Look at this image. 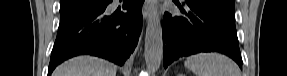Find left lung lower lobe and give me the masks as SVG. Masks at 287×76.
I'll list each match as a JSON object with an SVG mask.
<instances>
[{
  "label": "left lung lower lobe",
  "instance_id": "left-lung-lower-lobe-1",
  "mask_svg": "<svg viewBox=\"0 0 287 76\" xmlns=\"http://www.w3.org/2000/svg\"><path fill=\"white\" fill-rule=\"evenodd\" d=\"M178 6L183 16L166 12L163 18L164 68L181 57L215 51L231 57L242 69L236 28L192 5Z\"/></svg>",
  "mask_w": 287,
  "mask_h": 76
}]
</instances>
